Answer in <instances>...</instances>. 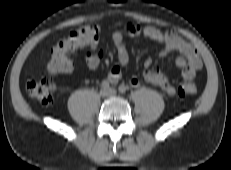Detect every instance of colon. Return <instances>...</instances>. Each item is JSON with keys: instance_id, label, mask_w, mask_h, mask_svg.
<instances>
[{"instance_id": "obj_1", "label": "colon", "mask_w": 231, "mask_h": 170, "mask_svg": "<svg viewBox=\"0 0 231 170\" xmlns=\"http://www.w3.org/2000/svg\"><path fill=\"white\" fill-rule=\"evenodd\" d=\"M99 28L96 25H86L72 32L55 45L52 50L47 70L51 75L69 72L72 69L70 55L82 46L88 45L98 39ZM55 82L51 77L32 80L27 83L28 95L45 106L53 103ZM197 92L196 84L191 80H184L177 88L181 97L192 96Z\"/></svg>"}]
</instances>
